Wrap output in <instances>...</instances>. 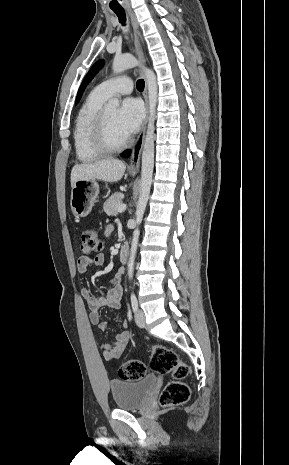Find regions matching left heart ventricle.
<instances>
[{
	"instance_id": "b2bd125f",
	"label": "left heart ventricle",
	"mask_w": 289,
	"mask_h": 465,
	"mask_svg": "<svg viewBox=\"0 0 289 465\" xmlns=\"http://www.w3.org/2000/svg\"><path fill=\"white\" fill-rule=\"evenodd\" d=\"M117 117H118V109L115 107H107V124H108L109 135L112 141L116 143L121 142L124 139H126V137L121 132L118 126Z\"/></svg>"
}]
</instances>
